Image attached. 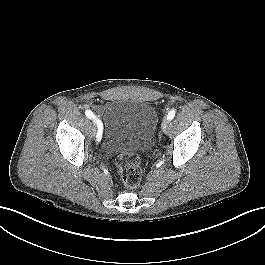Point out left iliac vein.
Wrapping results in <instances>:
<instances>
[{
	"label": "left iliac vein",
	"instance_id": "obj_1",
	"mask_svg": "<svg viewBox=\"0 0 265 265\" xmlns=\"http://www.w3.org/2000/svg\"><path fill=\"white\" fill-rule=\"evenodd\" d=\"M168 124H169L168 119L165 118L164 121H163V124H162V128H163V130H164L165 133L168 130Z\"/></svg>",
	"mask_w": 265,
	"mask_h": 265
}]
</instances>
